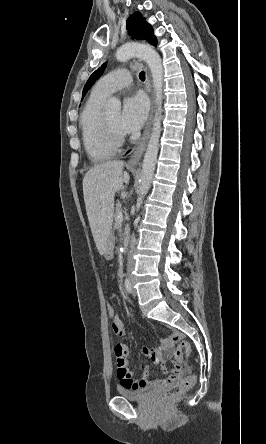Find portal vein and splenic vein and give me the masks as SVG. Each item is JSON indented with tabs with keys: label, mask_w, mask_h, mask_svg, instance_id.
Segmentation results:
<instances>
[{
	"label": "portal vein and splenic vein",
	"mask_w": 266,
	"mask_h": 444,
	"mask_svg": "<svg viewBox=\"0 0 266 444\" xmlns=\"http://www.w3.org/2000/svg\"><path fill=\"white\" fill-rule=\"evenodd\" d=\"M117 218H118V220H122V218H123V214H122L121 211H119V212L117 213Z\"/></svg>",
	"instance_id": "18ae733b"
}]
</instances>
